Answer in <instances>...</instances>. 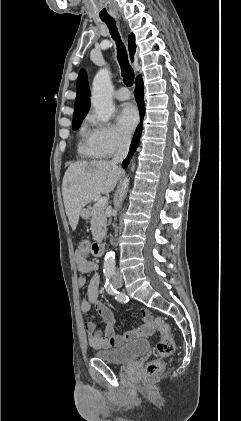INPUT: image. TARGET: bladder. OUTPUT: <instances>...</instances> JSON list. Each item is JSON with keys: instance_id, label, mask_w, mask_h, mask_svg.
I'll use <instances>...</instances> for the list:
<instances>
[{"instance_id": "1", "label": "bladder", "mask_w": 241, "mask_h": 421, "mask_svg": "<svg viewBox=\"0 0 241 421\" xmlns=\"http://www.w3.org/2000/svg\"><path fill=\"white\" fill-rule=\"evenodd\" d=\"M149 341L136 340L119 348L98 351L95 356L100 360L114 365L130 363L149 350Z\"/></svg>"}]
</instances>
